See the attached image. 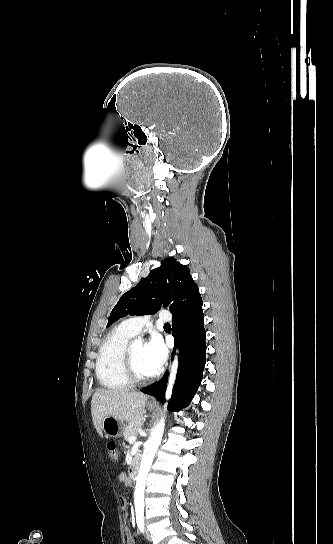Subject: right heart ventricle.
<instances>
[{"label": "right heart ventricle", "instance_id": "obj_1", "mask_svg": "<svg viewBox=\"0 0 333 544\" xmlns=\"http://www.w3.org/2000/svg\"><path fill=\"white\" fill-rule=\"evenodd\" d=\"M133 334L119 325L104 338L96 360V376L104 388L121 390L131 386L123 365L124 352Z\"/></svg>", "mask_w": 333, "mask_h": 544}]
</instances>
